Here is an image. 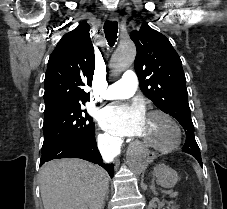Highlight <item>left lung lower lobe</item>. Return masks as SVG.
Wrapping results in <instances>:
<instances>
[{"mask_svg": "<svg viewBox=\"0 0 227 209\" xmlns=\"http://www.w3.org/2000/svg\"><path fill=\"white\" fill-rule=\"evenodd\" d=\"M192 156H194V157L198 160V162H199L200 164H202L201 156H200V157L197 156V155H192Z\"/></svg>", "mask_w": 227, "mask_h": 209, "instance_id": "0a47b994", "label": "left lung lower lobe"}]
</instances>
